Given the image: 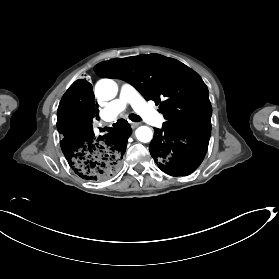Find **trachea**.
<instances>
[{"label": "trachea", "mask_w": 279, "mask_h": 279, "mask_svg": "<svg viewBox=\"0 0 279 279\" xmlns=\"http://www.w3.org/2000/svg\"><path fill=\"white\" fill-rule=\"evenodd\" d=\"M129 119L132 120V121H134V122H139V121H141V118H140L138 115H136V114H130V115H129Z\"/></svg>", "instance_id": "obj_1"}]
</instances>
